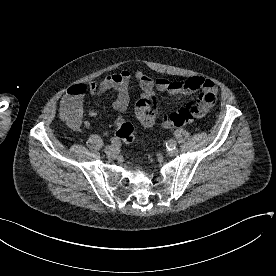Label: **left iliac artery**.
Segmentation results:
<instances>
[{"mask_svg":"<svg viewBox=\"0 0 276 276\" xmlns=\"http://www.w3.org/2000/svg\"><path fill=\"white\" fill-rule=\"evenodd\" d=\"M167 148H169V150L171 149V148H175L176 147V145H177V143H176V141L174 140V139H171V140H169L168 142H167Z\"/></svg>","mask_w":276,"mask_h":276,"instance_id":"left-iliac-artery-1","label":"left iliac artery"}]
</instances>
